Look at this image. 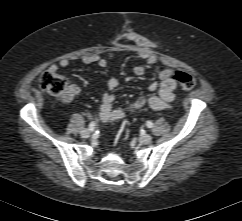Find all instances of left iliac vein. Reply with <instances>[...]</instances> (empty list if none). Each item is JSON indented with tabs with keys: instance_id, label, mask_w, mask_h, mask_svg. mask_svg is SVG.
Instances as JSON below:
<instances>
[{
	"instance_id": "left-iliac-vein-1",
	"label": "left iliac vein",
	"mask_w": 242,
	"mask_h": 221,
	"mask_svg": "<svg viewBox=\"0 0 242 221\" xmlns=\"http://www.w3.org/2000/svg\"><path fill=\"white\" fill-rule=\"evenodd\" d=\"M139 142L142 144H149L152 142V136L149 134H143L139 137Z\"/></svg>"
}]
</instances>
